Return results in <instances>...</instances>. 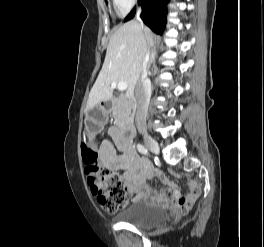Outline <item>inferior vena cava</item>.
Returning <instances> with one entry per match:
<instances>
[{"instance_id": "602c4592", "label": "inferior vena cava", "mask_w": 264, "mask_h": 247, "mask_svg": "<svg viewBox=\"0 0 264 247\" xmlns=\"http://www.w3.org/2000/svg\"><path fill=\"white\" fill-rule=\"evenodd\" d=\"M140 13L141 9H139L137 13L138 19H140ZM142 51V65L138 80L135 85V97L137 101L136 123L138 128L144 127L146 125L148 105L151 97V84L147 79V64L149 62V52L145 43L143 44Z\"/></svg>"}]
</instances>
